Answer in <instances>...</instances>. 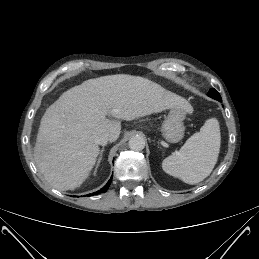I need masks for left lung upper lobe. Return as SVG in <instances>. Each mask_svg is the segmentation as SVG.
<instances>
[{
	"label": "left lung upper lobe",
	"instance_id": "5c2ea615",
	"mask_svg": "<svg viewBox=\"0 0 259 259\" xmlns=\"http://www.w3.org/2000/svg\"><path fill=\"white\" fill-rule=\"evenodd\" d=\"M208 96L211 97V98H214L218 101L221 100L220 94L214 88L210 89V91L208 93Z\"/></svg>",
	"mask_w": 259,
	"mask_h": 259
}]
</instances>
